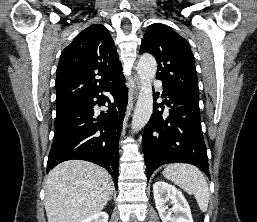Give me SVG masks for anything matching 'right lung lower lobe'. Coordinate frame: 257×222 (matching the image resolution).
<instances>
[{"label": "right lung lower lobe", "instance_id": "1", "mask_svg": "<svg viewBox=\"0 0 257 222\" xmlns=\"http://www.w3.org/2000/svg\"><path fill=\"white\" fill-rule=\"evenodd\" d=\"M124 82V75L120 73L81 104L56 114L54 141L49 153L47 172L66 160L90 161L104 167L111 174L117 190L118 143L127 105V88ZM102 91H109L112 99L108 100V111L102 112L96 118L94 105H104L108 99L99 95ZM94 98L98 101H94Z\"/></svg>", "mask_w": 257, "mask_h": 222}]
</instances>
